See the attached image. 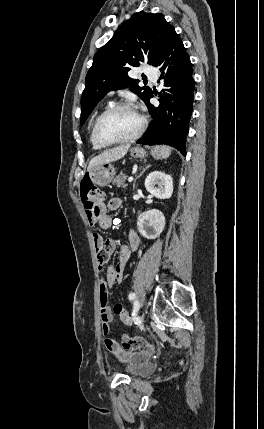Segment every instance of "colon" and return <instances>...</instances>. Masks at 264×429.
Wrapping results in <instances>:
<instances>
[{"label": "colon", "instance_id": "5ec220e1", "mask_svg": "<svg viewBox=\"0 0 264 429\" xmlns=\"http://www.w3.org/2000/svg\"><path fill=\"white\" fill-rule=\"evenodd\" d=\"M80 192L86 213L90 215L95 214L104 203L105 195L103 191L95 186L89 179H85L81 183ZM114 313L124 324L131 325L133 323L131 314L122 304H115ZM121 344L123 348L128 350H141L145 348V342L141 338L123 336Z\"/></svg>", "mask_w": 264, "mask_h": 429}]
</instances>
